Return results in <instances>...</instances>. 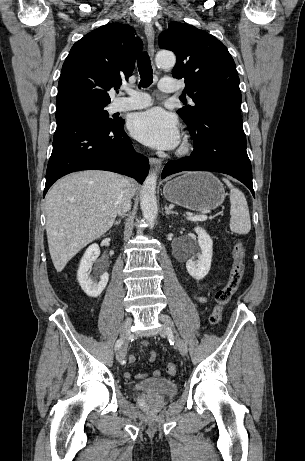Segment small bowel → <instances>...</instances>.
I'll return each mask as SVG.
<instances>
[{
    "mask_svg": "<svg viewBox=\"0 0 305 461\" xmlns=\"http://www.w3.org/2000/svg\"><path fill=\"white\" fill-rule=\"evenodd\" d=\"M195 298H196L198 301H200V302H205V301H206V298L203 297V296L196 295ZM143 345H144V347H146V348L149 350V354H150V356H149V361H150V362H153V361L155 360V358H156V353H155L153 350L149 349V344H148V342H144ZM128 360H129L130 363H133V362H135L136 357H135L134 355H130L129 358H128ZM159 375H160V370H159V369H155V370L153 371V376L158 377ZM125 377H126L127 379H132L133 377H135L136 379H143V378L145 377V374H143V373H138V374H136V375L133 376V375L130 374V373H125Z\"/></svg>",
    "mask_w": 305,
    "mask_h": 461,
    "instance_id": "c3829d8e",
    "label": "small bowel"
}]
</instances>
